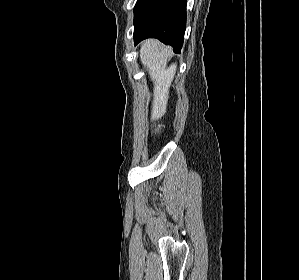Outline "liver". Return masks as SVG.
I'll use <instances>...</instances> for the list:
<instances>
[{
  "mask_svg": "<svg viewBox=\"0 0 299 280\" xmlns=\"http://www.w3.org/2000/svg\"><path fill=\"white\" fill-rule=\"evenodd\" d=\"M170 53L171 48L162 46L156 39H148L141 44V62L147 68L150 78L154 82L152 121L160 119L167 109L169 88L177 69L176 64L167 67Z\"/></svg>",
  "mask_w": 299,
  "mask_h": 280,
  "instance_id": "obj_1",
  "label": "liver"
}]
</instances>
